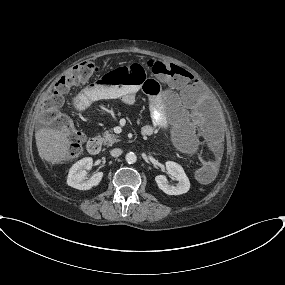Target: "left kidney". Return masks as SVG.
Returning a JSON list of instances; mask_svg holds the SVG:
<instances>
[{
	"label": "left kidney",
	"instance_id": "5707ae66",
	"mask_svg": "<svg viewBox=\"0 0 285 285\" xmlns=\"http://www.w3.org/2000/svg\"><path fill=\"white\" fill-rule=\"evenodd\" d=\"M166 169L168 173L178 181L176 186L169 185L164 175H157L155 181L158 187L168 195H181L186 193L190 188V182L183 168L176 162L167 161Z\"/></svg>",
	"mask_w": 285,
	"mask_h": 285
}]
</instances>
